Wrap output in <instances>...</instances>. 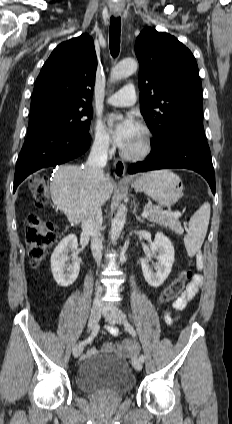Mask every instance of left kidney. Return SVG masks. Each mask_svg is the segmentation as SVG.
I'll return each mask as SVG.
<instances>
[{
  "mask_svg": "<svg viewBox=\"0 0 232 424\" xmlns=\"http://www.w3.org/2000/svg\"><path fill=\"white\" fill-rule=\"evenodd\" d=\"M152 254L156 256L158 263L155 272L149 266L148 258L141 259V267L144 279L152 287H160L169 276L174 263V246L163 233H156L154 241L150 245Z\"/></svg>",
  "mask_w": 232,
  "mask_h": 424,
  "instance_id": "obj_1",
  "label": "left kidney"
}]
</instances>
